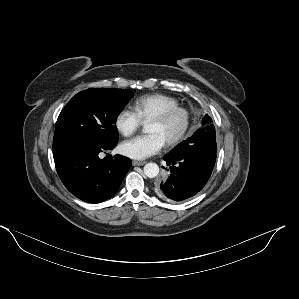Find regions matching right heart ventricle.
I'll return each mask as SVG.
<instances>
[{
    "instance_id": "right-heart-ventricle-1",
    "label": "right heart ventricle",
    "mask_w": 299,
    "mask_h": 299,
    "mask_svg": "<svg viewBox=\"0 0 299 299\" xmlns=\"http://www.w3.org/2000/svg\"><path fill=\"white\" fill-rule=\"evenodd\" d=\"M176 106H179L178 100L163 93L145 94L133 102V110L141 121H148L158 113Z\"/></svg>"
}]
</instances>
